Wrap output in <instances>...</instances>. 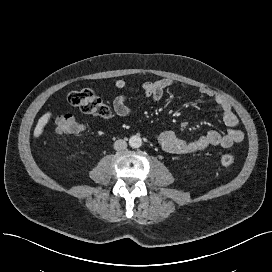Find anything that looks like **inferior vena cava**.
<instances>
[{"instance_id":"obj_1","label":"inferior vena cava","mask_w":272,"mask_h":272,"mask_svg":"<svg viewBox=\"0 0 272 272\" xmlns=\"http://www.w3.org/2000/svg\"><path fill=\"white\" fill-rule=\"evenodd\" d=\"M126 147H127V143L126 141L122 139L116 140L114 143V149L117 151L124 150L126 149Z\"/></svg>"}]
</instances>
